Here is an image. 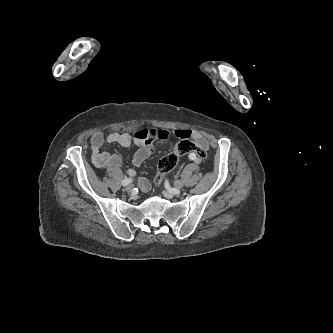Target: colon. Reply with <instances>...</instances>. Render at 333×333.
Returning <instances> with one entry per match:
<instances>
[{"label": "colon", "mask_w": 333, "mask_h": 333, "mask_svg": "<svg viewBox=\"0 0 333 333\" xmlns=\"http://www.w3.org/2000/svg\"><path fill=\"white\" fill-rule=\"evenodd\" d=\"M194 154L197 162L205 160L207 152L206 149L199 147L196 143L192 142L189 138L181 139L175 146L173 152L165 155L158 163V175L155 179V184L161 186L166 174L171 172L178 163V158L187 154Z\"/></svg>", "instance_id": "colon-1"}]
</instances>
